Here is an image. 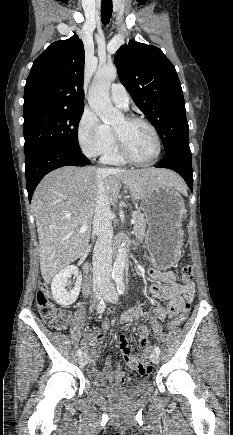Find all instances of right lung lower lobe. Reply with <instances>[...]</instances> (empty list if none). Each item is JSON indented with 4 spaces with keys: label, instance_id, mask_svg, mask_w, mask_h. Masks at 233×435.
<instances>
[{
    "label": "right lung lower lobe",
    "instance_id": "right-lung-lower-lobe-1",
    "mask_svg": "<svg viewBox=\"0 0 233 435\" xmlns=\"http://www.w3.org/2000/svg\"><path fill=\"white\" fill-rule=\"evenodd\" d=\"M90 161L82 154L81 150L46 145L34 148L25 153V175L27 192L31 202L33 192L41 179L50 171L63 166H84Z\"/></svg>",
    "mask_w": 233,
    "mask_h": 435
}]
</instances>
